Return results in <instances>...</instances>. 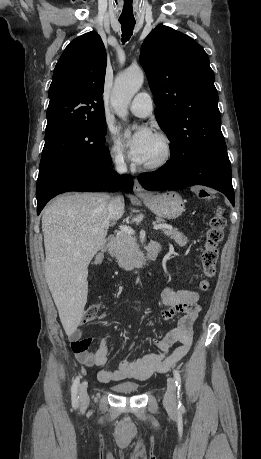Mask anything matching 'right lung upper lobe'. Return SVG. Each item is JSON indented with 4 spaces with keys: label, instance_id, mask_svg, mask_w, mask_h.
<instances>
[{
    "label": "right lung upper lobe",
    "instance_id": "right-lung-upper-lobe-1",
    "mask_svg": "<svg viewBox=\"0 0 261 459\" xmlns=\"http://www.w3.org/2000/svg\"><path fill=\"white\" fill-rule=\"evenodd\" d=\"M106 51L95 31L73 40L55 66L49 89L46 131L105 119Z\"/></svg>",
    "mask_w": 261,
    "mask_h": 459
}]
</instances>
